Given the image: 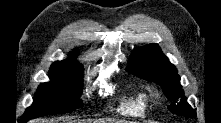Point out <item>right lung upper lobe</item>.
<instances>
[{"label":"right lung upper lobe","instance_id":"1","mask_svg":"<svg viewBox=\"0 0 221 123\" xmlns=\"http://www.w3.org/2000/svg\"><path fill=\"white\" fill-rule=\"evenodd\" d=\"M76 56V54H71L70 55V60H66V61H56L52 64V66H70V67H74V68H77V69H80L82 70V66L77 63L76 61L73 60V58Z\"/></svg>","mask_w":221,"mask_h":123}]
</instances>
